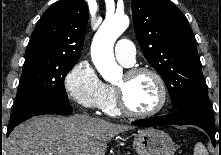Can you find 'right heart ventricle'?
Here are the masks:
<instances>
[{"label":"right heart ventricle","instance_id":"1","mask_svg":"<svg viewBox=\"0 0 221 155\" xmlns=\"http://www.w3.org/2000/svg\"><path fill=\"white\" fill-rule=\"evenodd\" d=\"M107 87V96L101 107V109L108 115L118 116L120 111L117 107L113 87L106 85Z\"/></svg>","mask_w":221,"mask_h":155}]
</instances>
